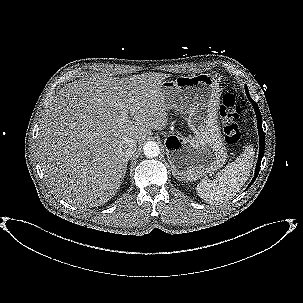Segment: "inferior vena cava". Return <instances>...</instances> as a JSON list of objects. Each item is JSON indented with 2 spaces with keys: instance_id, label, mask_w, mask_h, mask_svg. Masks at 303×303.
I'll use <instances>...</instances> for the list:
<instances>
[{
  "instance_id": "602c4592",
  "label": "inferior vena cava",
  "mask_w": 303,
  "mask_h": 303,
  "mask_svg": "<svg viewBox=\"0 0 303 303\" xmlns=\"http://www.w3.org/2000/svg\"><path fill=\"white\" fill-rule=\"evenodd\" d=\"M121 147L124 151L125 157L129 158L136 151V142L129 137H126L121 142Z\"/></svg>"
}]
</instances>
